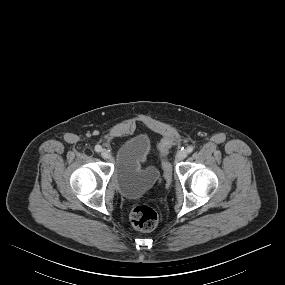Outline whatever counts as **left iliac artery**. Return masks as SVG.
<instances>
[{
	"mask_svg": "<svg viewBox=\"0 0 285 285\" xmlns=\"http://www.w3.org/2000/svg\"><path fill=\"white\" fill-rule=\"evenodd\" d=\"M193 150H194L193 146H188V147H187V152H188V153L193 152Z\"/></svg>",
	"mask_w": 285,
	"mask_h": 285,
	"instance_id": "left-iliac-artery-1",
	"label": "left iliac artery"
}]
</instances>
